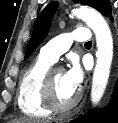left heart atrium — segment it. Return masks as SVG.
Returning <instances> with one entry per match:
<instances>
[{"instance_id":"obj_1","label":"left heart atrium","mask_w":118,"mask_h":123,"mask_svg":"<svg viewBox=\"0 0 118 123\" xmlns=\"http://www.w3.org/2000/svg\"><path fill=\"white\" fill-rule=\"evenodd\" d=\"M65 78L71 88L78 90L83 81V71L77 61H72L71 66L65 72Z\"/></svg>"}]
</instances>
